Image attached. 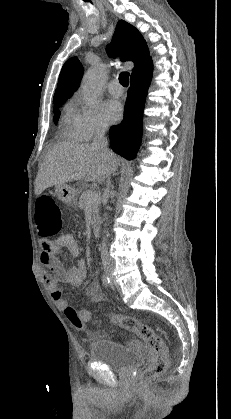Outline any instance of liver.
Listing matches in <instances>:
<instances>
[{"mask_svg":"<svg viewBox=\"0 0 231 419\" xmlns=\"http://www.w3.org/2000/svg\"><path fill=\"white\" fill-rule=\"evenodd\" d=\"M118 158L107 159L90 144L61 142L46 154L35 179V194L39 196L51 186L84 180L102 183L117 168Z\"/></svg>","mask_w":231,"mask_h":419,"instance_id":"6515ba94","label":"liver"}]
</instances>
